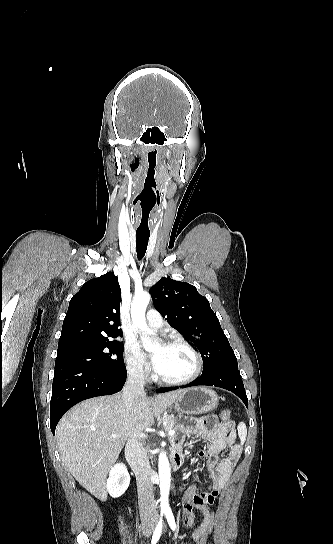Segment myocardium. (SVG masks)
Returning <instances> with one entry per match:
<instances>
[{
	"label": "myocardium",
	"instance_id": "1",
	"mask_svg": "<svg viewBox=\"0 0 333 544\" xmlns=\"http://www.w3.org/2000/svg\"><path fill=\"white\" fill-rule=\"evenodd\" d=\"M166 344L169 345V346H181V347L187 349L194 356L195 368H194L193 372L188 377L183 378V379H179V380L165 379V378L161 377L157 373L156 368H154L153 378L155 379V381H157L160 384L166 385V386H182V385H187V384L193 382L194 380H196L201 375V373L203 371L204 363H203V358H202L201 354L189 342H187L186 340L181 339V338L170 339L169 341L166 342Z\"/></svg>",
	"mask_w": 333,
	"mask_h": 544
}]
</instances>
